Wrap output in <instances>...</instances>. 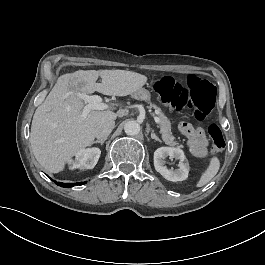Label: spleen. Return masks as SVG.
<instances>
[{
    "mask_svg": "<svg viewBox=\"0 0 265 265\" xmlns=\"http://www.w3.org/2000/svg\"><path fill=\"white\" fill-rule=\"evenodd\" d=\"M221 167V162L218 156L213 155L209 159V164L206 169L201 173L199 180L196 183V187H203L206 185L211 179H213L218 173Z\"/></svg>",
    "mask_w": 265,
    "mask_h": 265,
    "instance_id": "1",
    "label": "spleen"
}]
</instances>
